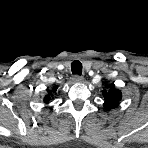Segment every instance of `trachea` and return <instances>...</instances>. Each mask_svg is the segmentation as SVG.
<instances>
[{"label": "trachea", "instance_id": "obj_1", "mask_svg": "<svg viewBox=\"0 0 148 148\" xmlns=\"http://www.w3.org/2000/svg\"><path fill=\"white\" fill-rule=\"evenodd\" d=\"M72 73L81 76L82 74V63L79 60H75L71 64Z\"/></svg>", "mask_w": 148, "mask_h": 148}]
</instances>
